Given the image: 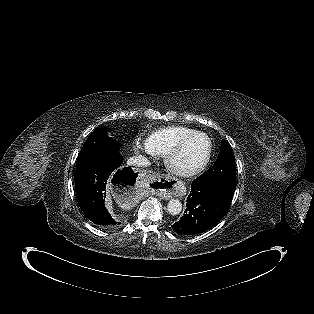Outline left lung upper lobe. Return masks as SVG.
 Wrapping results in <instances>:
<instances>
[{"instance_id":"obj_1","label":"left lung upper lobe","mask_w":314,"mask_h":314,"mask_svg":"<svg viewBox=\"0 0 314 314\" xmlns=\"http://www.w3.org/2000/svg\"><path fill=\"white\" fill-rule=\"evenodd\" d=\"M196 180H236L235 156L228 142H221V151L214 165Z\"/></svg>"}]
</instances>
